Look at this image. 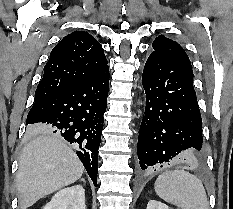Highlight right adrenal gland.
Returning <instances> with one entry per match:
<instances>
[{
    "mask_svg": "<svg viewBox=\"0 0 233 209\" xmlns=\"http://www.w3.org/2000/svg\"><path fill=\"white\" fill-rule=\"evenodd\" d=\"M80 180L83 181V182L85 183V179H84V178H81Z\"/></svg>",
    "mask_w": 233,
    "mask_h": 209,
    "instance_id": "right-adrenal-gland-1",
    "label": "right adrenal gland"
}]
</instances>
